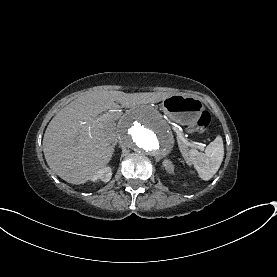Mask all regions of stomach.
Returning <instances> with one entry per match:
<instances>
[{
  "mask_svg": "<svg viewBox=\"0 0 277 277\" xmlns=\"http://www.w3.org/2000/svg\"><path fill=\"white\" fill-rule=\"evenodd\" d=\"M162 111L190 133L195 132L204 104L198 98L175 94L162 101Z\"/></svg>",
  "mask_w": 277,
  "mask_h": 277,
  "instance_id": "stomach-1",
  "label": "stomach"
}]
</instances>
